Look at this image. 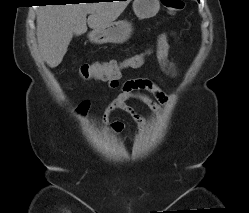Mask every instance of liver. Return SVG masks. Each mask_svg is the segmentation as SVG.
Here are the masks:
<instances>
[{"label": "liver", "mask_w": 249, "mask_h": 213, "mask_svg": "<svg viewBox=\"0 0 249 213\" xmlns=\"http://www.w3.org/2000/svg\"><path fill=\"white\" fill-rule=\"evenodd\" d=\"M130 0L42 6L37 13V42L47 65L57 67L73 35H82L114 22ZM89 14L88 19H86ZM87 23V24H86Z\"/></svg>", "instance_id": "obj_1"}]
</instances>
